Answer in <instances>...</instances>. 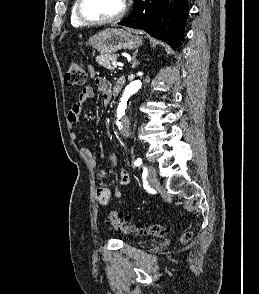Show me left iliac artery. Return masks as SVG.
I'll use <instances>...</instances> for the list:
<instances>
[{
	"instance_id": "1",
	"label": "left iliac artery",
	"mask_w": 259,
	"mask_h": 294,
	"mask_svg": "<svg viewBox=\"0 0 259 294\" xmlns=\"http://www.w3.org/2000/svg\"><path fill=\"white\" fill-rule=\"evenodd\" d=\"M134 164H135V166H138V167L142 166V164H143L142 159L141 158H137L135 160Z\"/></svg>"
}]
</instances>
